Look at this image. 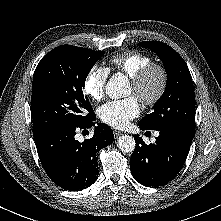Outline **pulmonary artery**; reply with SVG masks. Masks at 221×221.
Here are the masks:
<instances>
[{
	"label": "pulmonary artery",
	"mask_w": 221,
	"mask_h": 221,
	"mask_svg": "<svg viewBox=\"0 0 221 221\" xmlns=\"http://www.w3.org/2000/svg\"><path fill=\"white\" fill-rule=\"evenodd\" d=\"M159 135V133L157 132V133H155V136L157 137Z\"/></svg>",
	"instance_id": "obj_1"
}]
</instances>
